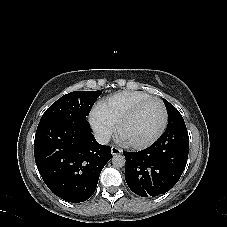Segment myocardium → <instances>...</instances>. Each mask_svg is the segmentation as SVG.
<instances>
[{"instance_id": "myocardium-1", "label": "myocardium", "mask_w": 227, "mask_h": 227, "mask_svg": "<svg viewBox=\"0 0 227 227\" xmlns=\"http://www.w3.org/2000/svg\"><path fill=\"white\" fill-rule=\"evenodd\" d=\"M150 101H157L161 105L162 110H163V121H162L159 129L150 139H148L146 141H143V142L126 141L122 136L123 128L125 127V125L128 122H130L136 116V114L141 109V107H143L146 103H148ZM167 124H168V110H167L165 103L158 97L150 96V97L140 101L139 103H137L124 116H122V118L117 123V133L127 146H129L131 148H135V149H144V148H147V147L153 145L156 141H158V139L163 135V133L167 127Z\"/></svg>"}]
</instances>
